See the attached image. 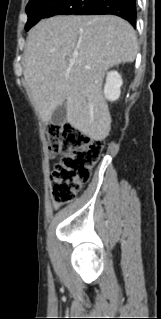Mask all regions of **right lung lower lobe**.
<instances>
[{
    "mask_svg": "<svg viewBox=\"0 0 161 319\" xmlns=\"http://www.w3.org/2000/svg\"><path fill=\"white\" fill-rule=\"evenodd\" d=\"M117 15L134 27L136 24V0H88L74 15Z\"/></svg>",
    "mask_w": 161,
    "mask_h": 319,
    "instance_id": "right-lung-lower-lobe-1",
    "label": "right lung lower lobe"
}]
</instances>
